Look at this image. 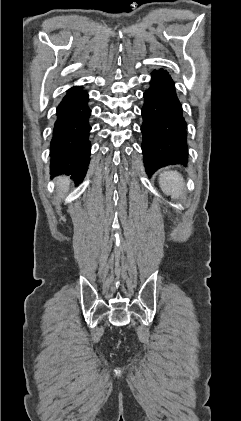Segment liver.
<instances>
[{
	"instance_id": "liver-1",
	"label": "liver",
	"mask_w": 241,
	"mask_h": 421,
	"mask_svg": "<svg viewBox=\"0 0 241 421\" xmlns=\"http://www.w3.org/2000/svg\"><path fill=\"white\" fill-rule=\"evenodd\" d=\"M70 180L67 177L57 178V189L60 196H64L69 189Z\"/></svg>"
}]
</instances>
